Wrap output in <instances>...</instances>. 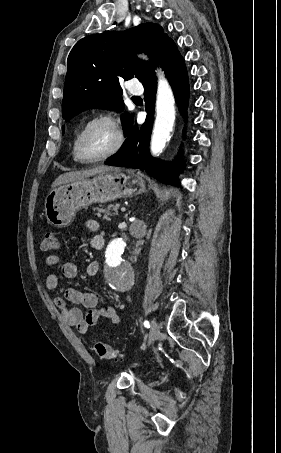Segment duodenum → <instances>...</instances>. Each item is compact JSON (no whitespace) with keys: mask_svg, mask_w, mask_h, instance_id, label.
Segmentation results:
<instances>
[{"mask_svg":"<svg viewBox=\"0 0 281 453\" xmlns=\"http://www.w3.org/2000/svg\"><path fill=\"white\" fill-rule=\"evenodd\" d=\"M103 247H104V242H101V243L99 244V249H102Z\"/></svg>","mask_w":281,"mask_h":453,"instance_id":"410a0bca","label":"duodenum"}]
</instances>
